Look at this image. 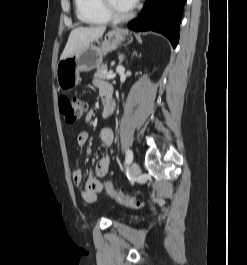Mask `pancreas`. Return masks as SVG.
<instances>
[{
  "label": "pancreas",
  "mask_w": 247,
  "mask_h": 265,
  "mask_svg": "<svg viewBox=\"0 0 247 265\" xmlns=\"http://www.w3.org/2000/svg\"><path fill=\"white\" fill-rule=\"evenodd\" d=\"M108 71H107V65L102 64L97 68V71L94 74L95 79H108L107 78Z\"/></svg>",
  "instance_id": "1"
}]
</instances>
